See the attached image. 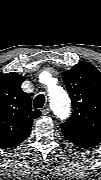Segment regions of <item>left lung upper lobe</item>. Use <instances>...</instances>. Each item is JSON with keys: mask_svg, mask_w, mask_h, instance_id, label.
<instances>
[{"mask_svg": "<svg viewBox=\"0 0 101 180\" xmlns=\"http://www.w3.org/2000/svg\"><path fill=\"white\" fill-rule=\"evenodd\" d=\"M73 113L61 124L63 135L72 143L95 146L101 141V73L88 62L63 72Z\"/></svg>", "mask_w": 101, "mask_h": 180, "instance_id": "left-lung-upper-lobe-1", "label": "left lung upper lobe"}]
</instances>
